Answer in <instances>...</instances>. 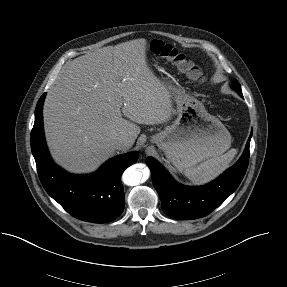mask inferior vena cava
Wrapping results in <instances>:
<instances>
[{
  "instance_id": "inferior-vena-cava-1",
  "label": "inferior vena cava",
  "mask_w": 287,
  "mask_h": 287,
  "mask_svg": "<svg viewBox=\"0 0 287 287\" xmlns=\"http://www.w3.org/2000/svg\"><path fill=\"white\" fill-rule=\"evenodd\" d=\"M111 145L113 148L121 150L128 145V139L125 136H119L112 140Z\"/></svg>"
}]
</instances>
